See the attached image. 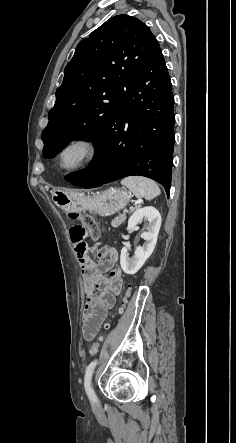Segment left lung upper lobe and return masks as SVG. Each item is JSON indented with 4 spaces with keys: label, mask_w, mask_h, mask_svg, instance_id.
Masks as SVG:
<instances>
[{
    "label": "left lung upper lobe",
    "mask_w": 236,
    "mask_h": 443,
    "mask_svg": "<svg viewBox=\"0 0 236 443\" xmlns=\"http://www.w3.org/2000/svg\"><path fill=\"white\" fill-rule=\"evenodd\" d=\"M158 44L139 19L117 15L76 47L42 132L43 156L75 139L96 138Z\"/></svg>",
    "instance_id": "1"
}]
</instances>
